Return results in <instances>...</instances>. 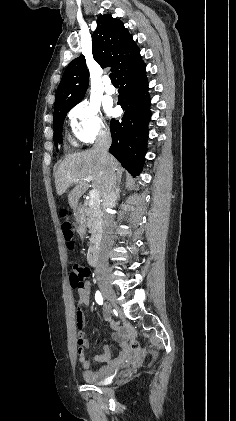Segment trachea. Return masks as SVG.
Wrapping results in <instances>:
<instances>
[{
    "mask_svg": "<svg viewBox=\"0 0 236 421\" xmlns=\"http://www.w3.org/2000/svg\"><path fill=\"white\" fill-rule=\"evenodd\" d=\"M110 80L112 83H118L114 73H110Z\"/></svg>",
    "mask_w": 236,
    "mask_h": 421,
    "instance_id": "1",
    "label": "trachea"
}]
</instances>
